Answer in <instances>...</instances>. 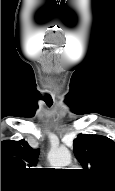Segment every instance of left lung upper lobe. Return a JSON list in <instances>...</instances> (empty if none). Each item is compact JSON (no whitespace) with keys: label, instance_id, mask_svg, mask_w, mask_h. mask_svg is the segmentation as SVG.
Masks as SVG:
<instances>
[{"label":"left lung upper lobe","instance_id":"1","mask_svg":"<svg viewBox=\"0 0 115 191\" xmlns=\"http://www.w3.org/2000/svg\"><path fill=\"white\" fill-rule=\"evenodd\" d=\"M73 148L82 171L115 191V142L101 135L79 134Z\"/></svg>","mask_w":115,"mask_h":191}]
</instances>
